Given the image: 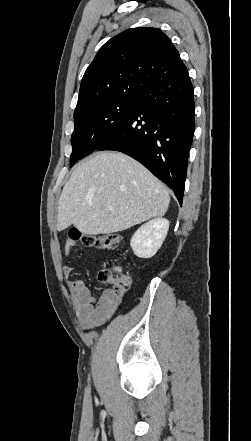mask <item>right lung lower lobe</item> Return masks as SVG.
I'll return each mask as SVG.
<instances>
[{
	"label": "right lung lower lobe",
	"mask_w": 251,
	"mask_h": 441,
	"mask_svg": "<svg viewBox=\"0 0 251 441\" xmlns=\"http://www.w3.org/2000/svg\"><path fill=\"white\" fill-rule=\"evenodd\" d=\"M193 92L187 68L153 84L95 150L120 151L136 159L172 188L181 205L195 130Z\"/></svg>",
	"instance_id": "obj_1"
}]
</instances>
